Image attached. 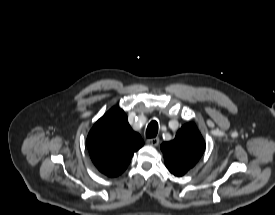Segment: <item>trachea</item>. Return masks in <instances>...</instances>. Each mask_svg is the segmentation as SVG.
I'll return each mask as SVG.
<instances>
[{"label":"trachea","mask_w":275,"mask_h":215,"mask_svg":"<svg viewBox=\"0 0 275 215\" xmlns=\"http://www.w3.org/2000/svg\"><path fill=\"white\" fill-rule=\"evenodd\" d=\"M158 133V123L157 121L153 120L149 123L146 130V136L148 138H154Z\"/></svg>","instance_id":"obj_1"}]
</instances>
